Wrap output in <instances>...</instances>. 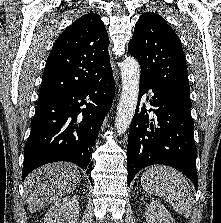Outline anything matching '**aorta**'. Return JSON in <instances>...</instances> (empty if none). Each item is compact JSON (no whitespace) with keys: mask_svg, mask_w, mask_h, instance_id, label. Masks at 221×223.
I'll return each mask as SVG.
<instances>
[{"mask_svg":"<svg viewBox=\"0 0 221 223\" xmlns=\"http://www.w3.org/2000/svg\"><path fill=\"white\" fill-rule=\"evenodd\" d=\"M122 93L117 107L115 127L122 135L130 126L139 94L140 67L133 57H126L121 63Z\"/></svg>","mask_w":221,"mask_h":223,"instance_id":"aorta-1","label":"aorta"}]
</instances>
